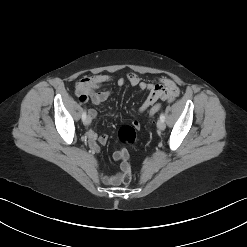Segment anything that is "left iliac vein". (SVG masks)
Wrapping results in <instances>:
<instances>
[{
  "label": "left iliac vein",
  "instance_id": "4c4485c4",
  "mask_svg": "<svg viewBox=\"0 0 247 247\" xmlns=\"http://www.w3.org/2000/svg\"><path fill=\"white\" fill-rule=\"evenodd\" d=\"M157 127H158V129L160 130V131H163L164 129H165V123H164V121L163 120H158V122H157Z\"/></svg>",
  "mask_w": 247,
  "mask_h": 247
}]
</instances>
